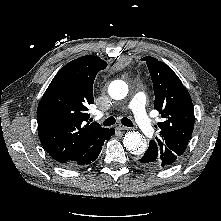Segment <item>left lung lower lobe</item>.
<instances>
[{
  "mask_svg": "<svg viewBox=\"0 0 221 221\" xmlns=\"http://www.w3.org/2000/svg\"><path fill=\"white\" fill-rule=\"evenodd\" d=\"M138 163L146 169L162 170L169 167L156 146H149L144 155L139 157Z\"/></svg>",
  "mask_w": 221,
  "mask_h": 221,
  "instance_id": "left-lung-lower-lobe-1",
  "label": "left lung lower lobe"
}]
</instances>
